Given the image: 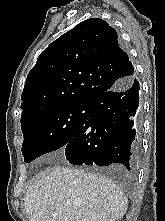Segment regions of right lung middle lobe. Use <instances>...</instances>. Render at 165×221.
<instances>
[{
    "instance_id": "dd1d6c3e",
    "label": "right lung middle lobe",
    "mask_w": 165,
    "mask_h": 221,
    "mask_svg": "<svg viewBox=\"0 0 165 221\" xmlns=\"http://www.w3.org/2000/svg\"><path fill=\"white\" fill-rule=\"evenodd\" d=\"M90 104L66 105L40 112L21 122L22 155L26 163L65 147L88 120Z\"/></svg>"
}]
</instances>
